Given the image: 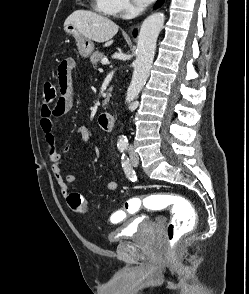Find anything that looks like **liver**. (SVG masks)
<instances>
[{
  "label": "liver",
  "mask_w": 249,
  "mask_h": 294,
  "mask_svg": "<svg viewBox=\"0 0 249 294\" xmlns=\"http://www.w3.org/2000/svg\"><path fill=\"white\" fill-rule=\"evenodd\" d=\"M68 24L75 26L78 32L89 40L105 42V46L113 43L111 39L119 29L118 25L110 19L87 10L74 11L65 20L64 26Z\"/></svg>",
  "instance_id": "obj_1"
}]
</instances>
